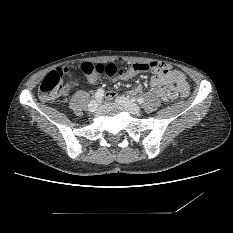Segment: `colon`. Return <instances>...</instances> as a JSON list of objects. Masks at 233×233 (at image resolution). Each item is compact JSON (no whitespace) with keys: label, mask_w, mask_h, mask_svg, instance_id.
<instances>
[{"label":"colon","mask_w":233,"mask_h":233,"mask_svg":"<svg viewBox=\"0 0 233 233\" xmlns=\"http://www.w3.org/2000/svg\"><path fill=\"white\" fill-rule=\"evenodd\" d=\"M79 70L90 79H94L100 76L113 77L117 74V68L113 64H92L82 63ZM160 70V66L156 62L147 63H134L128 69L122 70L121 74L124 76H130L132 74L140 72H157ZM72 73L69 68L57 69L50 72L41 82L39 86L38 96L43 102H50L60 96H65L71 86ZM188 87H183L181 90L182 97H188Z\"/></svg>","instance_id":"5ec220e1"}]
</instances>
